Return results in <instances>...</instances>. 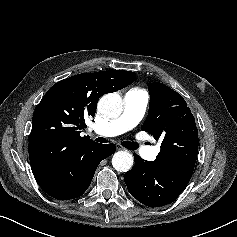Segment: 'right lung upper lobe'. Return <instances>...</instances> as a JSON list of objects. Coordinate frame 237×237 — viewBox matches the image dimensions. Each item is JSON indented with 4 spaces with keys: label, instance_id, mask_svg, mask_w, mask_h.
Wrapping results in <instances>:
<instances>
[{
    "label": "right lung upper lobe",
    "instance_id": "obj_1",
    "mask_svg": "<svg viewBox=\"0 0 237 237\" xmlns=\"http://www.w3.org/2000/svg\"><path fill=\"white\" fill-rule=\"evenodd\" d=\"M130 71L78 74L54 84L37 106L32 120L29 159L34 175L59 168L79 149L94 144L80 133L94 117L99 98L132 83Z\"/></svg>",
    "mask_w": 237,
    "mask_h": 237
}]
</instances>
